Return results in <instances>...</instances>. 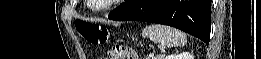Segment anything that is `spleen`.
Segmentation results:
<instances>
[{
  "instance_id": "1",
  "label": "spleen",
  "mask_w": 261,
  "mask_h": 59,
  "mask_svg": "<svg viewBox=\"0 0 261 59\" xmlns=\"http://www.w3.org/2000/svg\"><path fill=\"white\" fill-rule=\"evenodd\" d=\"M142 35L154 43L165 44L169 47L184 46L187 43L186 35L183 32L160 24L146 26L142 31Z\"/></svg>"
}]
</instances>
